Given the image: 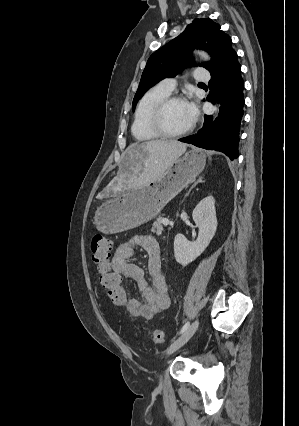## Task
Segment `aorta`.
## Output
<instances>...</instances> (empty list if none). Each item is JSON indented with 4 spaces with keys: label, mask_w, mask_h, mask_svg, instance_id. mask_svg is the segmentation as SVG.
Masks as SVG:
<instances>
[{
    "label": "aorta",
    "mask_w": 299,
    "mask_h": 426,
    "mask_svg": "<svg viewBox=\"0 0 299 426\" xmlns=\"http://www.w3.org/2000/svg\"><path fill=\"white\" fill-rule=\"evenodd\" d=\"M194 53H195V54H197V55H199V56H200L203 60H205V61L210 60L209 55H208L206 52H204V51H199V50H197V51H195ZM218 112H219V105H217V106L215 107V116H214V117H217Z\"/></svg>",
    "instance_id": "obj_1"
}]
</instances>
